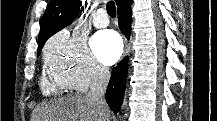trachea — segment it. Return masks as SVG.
I'll use <instances>...</instances> for the list:
<instances>
[{
	"label": "trachea",
	"instance_id": "1",
	"mask_svg": "<svg viewBox=\"0 0 217 121\" xmlns=\"http://www.w3.org/2000/svg\"><path fill=\"white\" fill-rule=\"evenodd\" d=\"M106 10L109 16L115 17L116 16V6L114 1H109L106 5Z\"/></svg>",
	"mask_w": 217,
	"mask_h": 121
}]
</instances>
